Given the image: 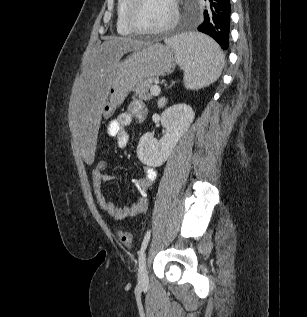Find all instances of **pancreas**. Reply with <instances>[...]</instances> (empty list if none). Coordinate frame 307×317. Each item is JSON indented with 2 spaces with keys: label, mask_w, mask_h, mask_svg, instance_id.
<instances>
[{
  "label": "pancreas",
  "mask_w": 307,
  "mask_h": 317,
  "mask_svg": "<svg viewBox=\"0 0 307 317\" xmlns=\"http://www.w3.org/2000/svg\"><path fill=\"white\" fill-rule=\"evenodd\" d=\"M152 87V80L145 79L139 82L135 88L133 89L134 95L133 98H140L143 100H150L152 99V94L149 93V89Z\"/></svg>",
  "instance_id": "1"
}]
</instances>
